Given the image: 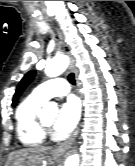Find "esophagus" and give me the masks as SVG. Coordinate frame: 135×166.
<instances>
[{
  "instance_id": "1",
  "label": "esophagus",
  "mask_w": 135,
  "mask_h": 166,
  "mask_svg": "<svg viewBox=\"0 0 135 166\" xmlns=\"http://www.w3.org/2000/svg\"><path fill=\"white\" fill-rule=\"evenodd\" d=\"M57 33H58V36H59V39H60V43L62 44L63 51H64V53H65V54L68 56V58H69V69L75 73L77 85L80 86V82H79V79H78V72H77V70H76V68H75L74 60H73V58H72L71 55H70V48L64 43V41H63V36H62V34L60 33V31H57ZM81 98H82V96H81ZM80 126H81V125H79V126L77 127V129L73 132V134L70 136V138H69L67 141H65L64 143H62L61 145H59V146L55 149V152H57V153L63 152V151H65V150L73 143V141L75 140L76 136H77L78 133H79Z\"/></svg>"
}]
</instances>
